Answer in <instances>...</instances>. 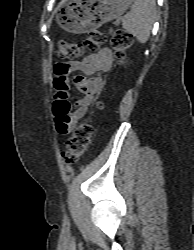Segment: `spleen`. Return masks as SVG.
I'll list each match as a JSON object with an SVG mask.
<instances>
[{
    "label": "spleen",
    "mask_w": 194,
    "mask_h": 250,
    "mask_svg": "<svg viewBox=\"0 0 194 250\" xmlns=\"http://www.w3.org/2000/svg\"><path fill=\"white\" fill-rule=\"evenodd\" d=\"M155 14V0H134L130 12L122 20V26L140 43H145L150 36Z\"/></svg>",
    "instance_id": "1"
}]
</instances>
